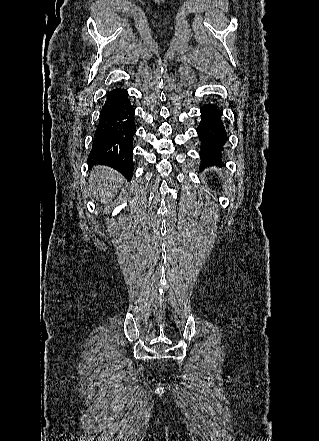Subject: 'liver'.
I'll return each mask as SVG.
<instances>
[{
	"label": "liver",
	"mask_w": 319,
	"mask_h": 441,
	"mask_svg": "<svg viewBox=\"0 0 319 441\" xmlns=\"http://www.w3.org/2000/svg\"><path fill=\"white\" fill-rule=\"evenodd\" d=\"M124 178L107 167L96 166L90 174V195L101 203H108L116 196Z\"/></svg>",
	"instance_id": "1"
}]
</instances>
